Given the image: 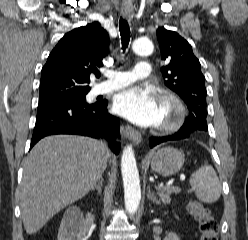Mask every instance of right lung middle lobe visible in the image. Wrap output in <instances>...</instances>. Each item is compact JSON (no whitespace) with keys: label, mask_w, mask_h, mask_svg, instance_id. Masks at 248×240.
Wrapping results in <instances>:
<instances>
[{"label":"right lung middle lobe","mask_w":248,"mask_h":240,"mask_svg":"<svg viewBox=\"0 0 248 240\" xmlns=\"http://www.w3.org/2000/svg\"><path fill=\"white\" fill-rule=\"evenodd\" d=\"M86 93H82V94H77V95H70V96H65V97H62V98H59V99H70V100H75V101H81V102H86Z\"/></svg>","instance_id":"1"}]
</instances>
